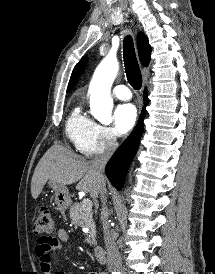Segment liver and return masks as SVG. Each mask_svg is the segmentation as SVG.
I'll return each instance as SVG.
<instances>
[{
    "mask_svg": "<svg viewBox=\"0 0 215 274\" xmlns=\"http://www.w3.org/2000/svg\"><path fill=\"white\" fill-rule=\"evenodd\" d=\"M48 180L61 185L78 182L76 189L90 193L93 199L98 197L102 184H105V179L99 176L90 161L58 144L47 150L35 168L31 181L34 199L39 197Z\"/></svg>",
    "mask_w": 215,
    "mask_h": 274,
    "instance_id": "6515ba94",
    "label": "liver"
}]
</instances>
